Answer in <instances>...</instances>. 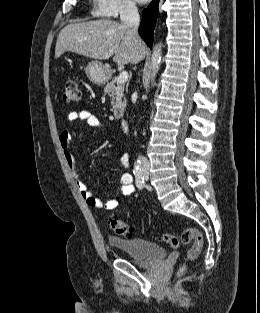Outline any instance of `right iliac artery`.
I'll list each match as a JSON object with an SVG mask.
<instances>
[{
  "instance_id": "obj_1",
  "label": "right iliac artery",
  "mask_w": 260,
  "mask_h": 313,
  "mask_svg": "<svg viewBox=\"0 0 260 313\" xmlns=\"http://www.w3.org/2000/svg\"><path fill=\"white\" fill-rule=\"evenodd\" d=\"M133 173L136 178L137 187L142 189L145 186V181H144V176H143L141 167L139 165L135 166Z\"/></svg>"
}]
</instances>
